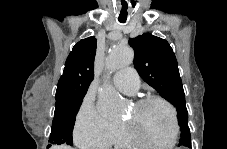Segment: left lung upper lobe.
Wrapping results in <instances>:
<instances>
[{"label":"left lung upper lobe","mask_w":227,"mask_h":149,"mask_svg":"<svg viewBox=\"0 0 227 149\" xmlns=\"http://www.w3.org/2000/svg\"><path fill=\"white\" fill-rule=\"evenodd\" d=\"M129 45L135 51L134 67L140 77L177 109L181 128L179 146L191 147L185 94L169 43L151 33H144L129 39Z\"/></svg>","instance_id":"left-lung-upper-lobe-1"}]
</instances>
